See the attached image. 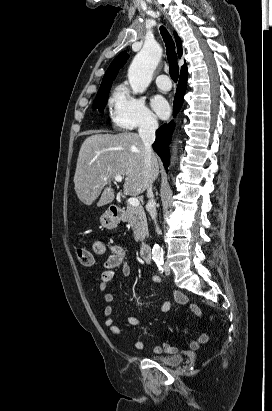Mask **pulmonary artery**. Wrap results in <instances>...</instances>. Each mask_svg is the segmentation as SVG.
<instances>
[{"label":"pulmonary artery","instance_id":"e3ab8cb5","mask_svg":"<svg viewBox=\"0 0 272 411\" xmlns=\"http://www.w3.org/2000/svg\"><path fill=\"white\" fill-rule=\"evenodd\" d=\"M156 85L162 91H168L171 88L169 77L165 74H161L156 78Z\"/></svg>","mask_w":272,"mask_h":411}]
</instances>
